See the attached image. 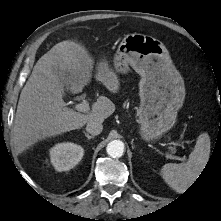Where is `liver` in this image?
<instances>
[{
  "mask_svg": "<svg viewBox=\"0 0 221 221\" xmlns=\"http://www.w3.org/2000/svg\"><path fill=\"white\" fill-rule=\"evenodd\" d=\"M93 65L87 48L76 40L57 43L37 61L21 91L15 115L13 140L18 152L40 140L81 128L92 120L103 122L114 113V103L105 96L97 98L88 114L66 107L64 86L72 94L82 92L91 82ZM96 69V81L118 93L119 77L108 62L100 61Z\"/></svg>",
  "mask_w": 221,
  "mask_h": 221,
  "instance_id": "6515ba94",
  "label": "liver"
}]
</instances>
